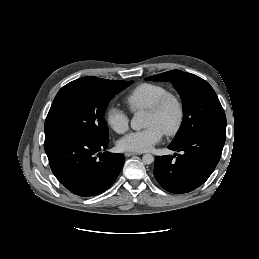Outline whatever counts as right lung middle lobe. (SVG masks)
Instances as JSON below:
<instances>
[{"label":"right lung middle lobe","instance_id":"dd1d6c3e","mask_svg":"<svg viewBox=\"0 0 259 259\" xmlns=\"http://www.w3.org/2000/svg\"><path fill=\"white\" fill-rule=\"evenodd\" d=\"M133 81L111 80L100 85L77 79L62 87L48 112L45 137L79 134L108 140V126L104 119L109 101Z\"/></svg>","mask_w":259,"mask_h":259}]
</instances>
